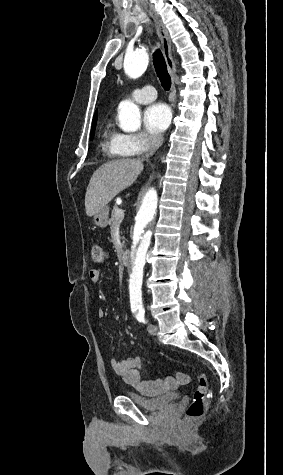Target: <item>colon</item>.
Wrapping results in <instances>:
<instances>
[{"mask_svg":"<svg viewBox=\"0 0 283 475\" xmlns=\"http://www.w3.org/2000/svg\"><path fill=\"white\" fill-rule=\"evenodd\" d=\"M106 256L105 250L100 245H93L91 248V260L93 263H103ZM208 391L209 387L206 375L202 373L198 374L196 388L194 389L192 400L186 410V418L188 420H198L204 415L207 406Z\"/></svg>","mask_w":283,"mask_h":475,"instance_id":"colon-1","label":"colon"}]
</instances>
